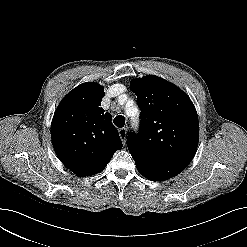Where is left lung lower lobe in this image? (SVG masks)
<instances>
[{"label":"left lung lower lobe","mask_w":247,"mask_h":247,"mask_svg":"<svg viewBox=\"0 0 247 247\" xmlns=\"http://www.w3.org/2000/svg\"><path fill=\"white\" fill-rule=\"evenodd\" d=\"M137 170L141 175L149 180L162 181L179 174L183 169L173 166H165L152 163L144 158L132 156Z\"/></svg>","instance_id":"0a47b994"}]
</instances>
